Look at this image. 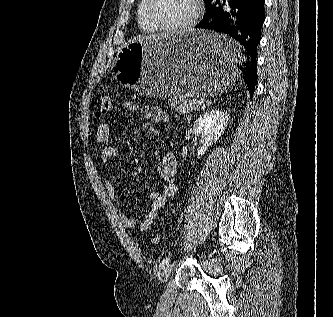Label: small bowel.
<instances>
[{
  "label": "small bowel",
  "mask_w": 333,
  "mask_h": 317,
  "mask_svg": "<svg viewBox=\"0 0 333 317\" xmlns=\"http://www.w3.org/2000/svg\"><path fill=\"white\" fill-rule=\"evenodd\" d=\"M123 108L126 111L130 112L141 110L146 118L157 123H167L169 120L168 115L161 109L155 106H144L141 108L139 104L133 100L125 101L123 104ZM110 135V124L108 122L100 123L96 129L95 138L99 144L106 145L100 155V159L103 163L109 162L118 154V148L115 145L108 144ZM157 173L164 182L163 189L161 192H150V209L139 223L131 219L120 207L117 192L112 181L108 178L104 180V187L106 189V192L111 198L119 215L120 221L124 227L129 229H137L140 232L148 230L151 227L153 221L155 220L158 212L166 206L169 199L173 198L177 194V161L173 153L168 152L163 156L160 164L157 166Z\"/></svg>",
  "instance_id": "c3829d8e"
}]
</instances>
